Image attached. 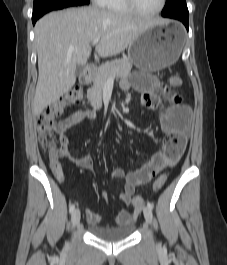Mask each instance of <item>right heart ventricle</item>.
I'll use <instances>...</instances> for the list:
<instances>
[{
	"label": "right heart ventricle",
	"instance_id": "e07e8e85",
	"mask_svg": "<svg viewBox=\"0 0 227 265\" xmlns=\"http://www.w3.org/2000/svg\"><path fill=\"white\" fill-rule=\"evenodd\" d=\"M99 5L104 9L121 14H133L125 0H100Z\"/></svg>",
	"mask_w": 227,
	"mask_h": 265
}]
</instances>
